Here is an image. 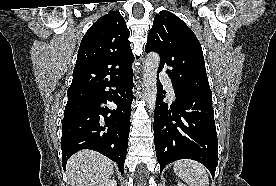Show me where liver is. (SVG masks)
Listing matches in <instances>:
<instances>
[{"instance_id":"liver-1","label":"liver","mask_w":276,"mask_h":186,"mask_svg":"<svg viewBox=\"0 0 276 186\" xmlns=\"http://www.w3.org/2000/svg\"><path fill=\"white\" fill-rule=\"evenodd\" d=\"M114 173V163L92 150L75 153L67 162L71 186H102Z\"/></svg>"}]
</instances>
